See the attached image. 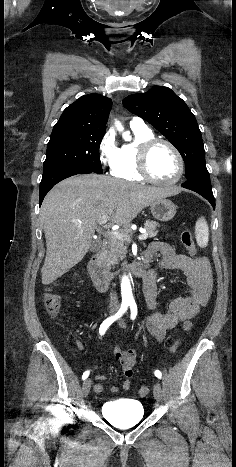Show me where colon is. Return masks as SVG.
Returning a JSON list of instances; mask_svg holds the SVG:
<instances>
[{
    "label": "colon",
    "instance_id": "5ec220e1",
    "mask_svg": "<svg viewBox=\"0 0 236 467\" xmlns=\"http://www.w3.org/2000/svg\"><path fill=\"white\" fill-rule=\"evenodd\" d=\"M181 243L182 245L187 249V251L191 255L196 254V247L193 242L192 235L189 231L184 230L181 233ZM44 303L45 307L52 317H56L60 314L61 312V302H60V297L59 295L55 292L54 288H49L45 294L44 298ZM183 329L185 331H190L192 329V322L191 321H186L183 324ZM179 342H176L172 348L171 351L174 352L178 346ZM141 395H145L148 393V388L146 386H141L139 390Z\"/></svg>",
    "mask_w": 236,
    "mask_h": 467
}]
</instances>
